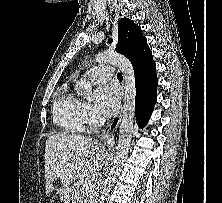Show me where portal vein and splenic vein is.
Wrapping results in <instances>:
<instances>
[{"label": "portal vein and splenic vein", "instance_id": "18ae733b", "mask_svg": "<svg viewBox=\"0 0 222 203\" xmlns=\"http://www.w3.org/2000/svg\"><path fill=\"white\" fill-rule=\"evenodd\" d=\"M83 188H84L85 192H90V191H92V189H93L92 182H91V181H86V182L83 184Z\"/></svg>", "mask_w": 222, "mask_h": 203}]
</instances>
